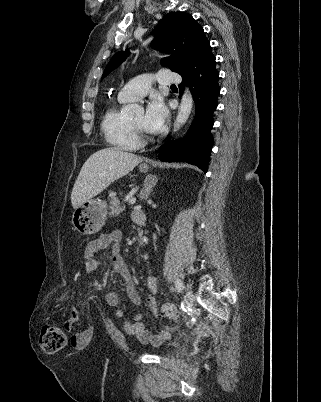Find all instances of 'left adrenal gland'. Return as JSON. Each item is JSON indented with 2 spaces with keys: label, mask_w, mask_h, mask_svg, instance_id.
I'll return each mask as SVG.
<instances>
[{
  "label": "left adrenal gland",
  "mask_w": 321,
  "mask_h": 402,
  "mask_svg": "<svg viewBox=\"0 0 321 402\" xmlns=\"http://www.w3.org/2000/svg\"><path fill=\"white\" fill-rule=\"evenodd\" d=\"M157 182H158V178L155 175H148L145 178L144 187L141 190L139 197L142 200H146L148 198V196L150 195L152 188L156 185Z\"/></svg>",
  "instance_id": "obj_1"
}]
</instances>
